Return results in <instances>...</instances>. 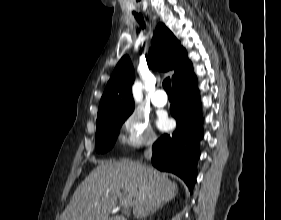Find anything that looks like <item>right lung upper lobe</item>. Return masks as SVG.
<instances>
[{
    "label": "right lung upper lobe",
    "mask_w": 281,
    "mask_h": 220,
    "mask_svg": "<svg viewBox=\"0 0 281 220\" xmlns=\"http://www.w3.org/2000/svg\"><path fill=\"white\" fill-rule=\"evenodd\" d=\"M149 63L151 67L161 71L174 69L173 87L196 79L186 50L180 46V42L163 23H159L155 29ZM133 80L134 69L126 55L118 62L106 85L99 105L97 122L132 113L134 109L131 91Z\"/></svg>",
    "instance_id": "obj_1"
}]
</instances>
